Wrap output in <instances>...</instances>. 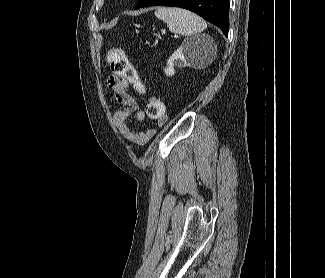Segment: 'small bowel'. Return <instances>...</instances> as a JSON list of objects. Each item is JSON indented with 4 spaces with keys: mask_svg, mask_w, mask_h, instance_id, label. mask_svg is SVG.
<instances>
[{
    "mask_svg": "<svg viewBox=\"0 0 325 278\" xmlns=\"http://www.w3.org/2000/svg\"><path fill=\"white\" fill-rule=\"evenodd\" d=\"M107 86L121 105V108L114 115L115 124L127 141L136 147L144 146L153 137L154 130L135 131L130 127L129 121L132 116L138 121H142L145 118V113L139 108L136 99L128 93L130 83L117 76H110L107 79ZM164 120L165 118L159 122L163 123Z\"/></svg>",
    "mask_w": 325,
    "mask_h": 278,
    "instance_id": "obj_1",
    "label": "small bowel"
}]
</instances>
